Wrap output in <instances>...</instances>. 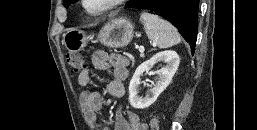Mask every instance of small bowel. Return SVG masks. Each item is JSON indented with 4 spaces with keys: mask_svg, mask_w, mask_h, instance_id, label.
Returning <instances> with one entry per match:
<instances>
[{
    "mask_svg": "<svg viewBox=\"0 0 257 130\" xmlns=\"http://www.w3.org/2000/svg\"><path fill=\"white\" fill-rule=\"evenodd\" d=\"M93 66L96 69H111L112 78L107 83L108 93L121 98L125 93L124 81L128 77L129 60L124 55L107 54L103 51L96 52L92 57ZM93 77L90 68H84L78 75V84L85 88L80 94V101L88 116L95 122L98 130H109L98 121L97 114L102 109L103 101L99 92L87 89ZM115 130H147V125L142 122L139 116L131 111L125 113L119 110L116 115Z\"/></svg>",
    "mask_w": 257,
    "mask_h": 130,
    "instance_id": "obj_1",
    "label": "small bowel"
}]
</instances>
